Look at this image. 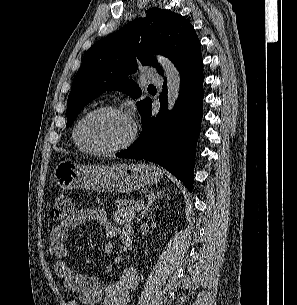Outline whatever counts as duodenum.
<instances>
[{
    "label": "duodenum",
    "instance_id": "1",
    "mask_svg": "<svg viewBox=\"0 0 297 305\" xmlns=\"http://www.w3.org/2000/svg\"><path fill=\"white\" fill-rule=\"evenodd\" d=\"M122 240L126 248L131 249L133 246V231L130 229L122 233Z\"/></svg>",
    "mask_w": 297,
    "mask_h": 305
}]
</instances>
